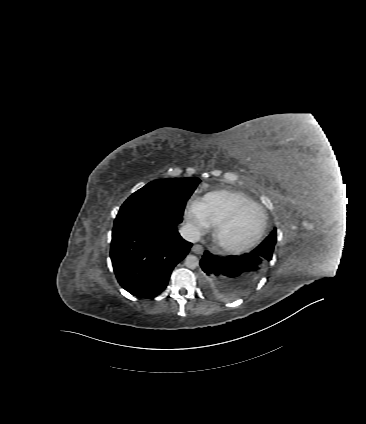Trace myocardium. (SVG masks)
<instances>
[{"mask_svg": "<svg viewBox=\"0 0 366 424\" xmlns=\"http://www.w3.org/2000/svg\"><path fill=\"white\" fill-rule=\"evenodd\" d=\"M256 208L262 215V226L257 235L251 240L244 243H229L223 239L224 231L229 228L239 217V215L248 208ZM268 227V219L264 209L257 203H245L235 208L227 217L217 223L212 232L214 244L222 251L228 253H240L255 246L264 236Z\"/></svg>", "mask_w": 366, "mask_h": 424, "instance_id": "f54148a6", "label": "myocardium"}]
</instances>
